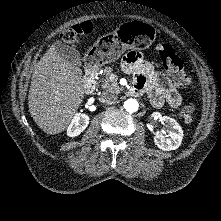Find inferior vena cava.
Returning a JSON list of instances; mask_svg holds the SVG:
<instances>
[{"label": "inferior vena cava", "mask_w": 221, "mask_h": 221, "mask_svg": "<svg viewBox=\"0 0 221 221\" xmlns=\"http://www.w3.org/2000/svg\"><path fill=\"white\" fill-rule=\"evenodd\" d=\"M100 101L104 104H116L117 103V98L115 95L110 94L108 92H104L101 96H100Z\"/></svg>", "instance_id": "1"}]
</instances>
